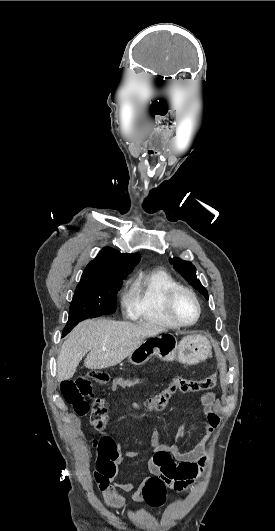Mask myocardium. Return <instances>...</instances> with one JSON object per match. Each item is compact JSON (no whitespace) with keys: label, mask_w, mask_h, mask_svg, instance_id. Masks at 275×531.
Listing matches in <instances>:
<instances>
[{"label":"myocardium","mask_w":275,"mask_h":531,"mask_svg":"<svg viewBox=\"0 0 275 531\" xmlns=\"http://www.w3.org/2000/svg\"><path fill=\"white\" fill-rule=\"evenodd\" d=\"M179 292H184V293L188 294L194 300V302L196 304L197 315H196L195 319L193 321H191V322H182L174 314V311H173V300H174L175 296ZM164 310H165V313L168 316V318L173 323H175L177 326H179V327H188V326H192V325L196 324L199 321V319L201 317V314H202V305H201V302H200L199 298L197 297V295L190 288L182 286V285H175V286L171 287L167 291V293L165 294V297H164Z\"/></svg>","instance_id":"myocardium-1"}]
</instances>
